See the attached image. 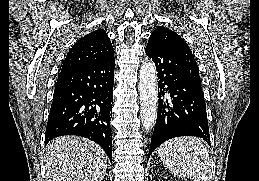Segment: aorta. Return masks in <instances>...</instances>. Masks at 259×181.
<instances>
[{"mask_svg":"<svg viewBox=\"0 0 259 181\" xmlns=\"http://www.w3.org/2000/svg\"><path fill=\"white\" fill-rule=\"evenodd\" d=\"M140 117L143 129L150 131L158 109L157 71L153 61H145L139 71Z\"/></svg>","mask_w":259,"mask_h":181,"instance_id":"1","label":"aorta"}]
</instances>
